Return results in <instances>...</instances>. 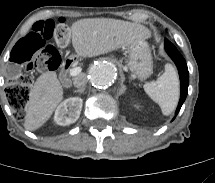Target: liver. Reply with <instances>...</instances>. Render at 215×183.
Here are the masks:
<instances>
[{
    "label": "liver",
    "instance_id": "liver-1",
    "mask_svg": "<svg viewBox=\"0 0 215 183\" xmlns=\"http://www.w3.org/2000/svg\"><path fill=\"white\" fill-rule=\"evenodd\" d=\"M72 45L78 57H94L129 47L151 37L143 25L109 18L81 19L71 26ZM63 99V88L53 71L40 75L29 93L24 127L40 128Z\"/></svg>",
    "mask_w": 215,
    "mask_h": 183
}]
</instances>
